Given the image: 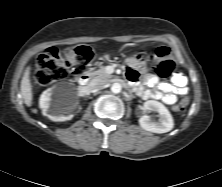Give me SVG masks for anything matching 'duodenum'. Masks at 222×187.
I'll return each mask as SVG.
<instances>
[{"mask_svg": "<svg viewBox=\"0 0 222 187\" xmlns=\"http://www.w3.org/2000/svg\"><path fill=\"white\" fill-rule=\"evenodd\" d=\"M91 75L90 74H83L79 79L80 84V92L82 95H86L89 91V80Z\"/></svg>", "mask_w": 222, "mask_h": 187, "instance_id": "duodenum-1", "label": "duodenum"}]
</instances>
